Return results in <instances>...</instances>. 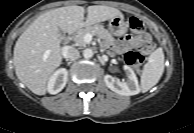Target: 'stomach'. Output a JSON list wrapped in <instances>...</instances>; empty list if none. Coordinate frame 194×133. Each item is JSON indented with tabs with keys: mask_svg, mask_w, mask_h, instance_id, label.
<instances>
[{
	"mask_svg": "<svg viewBox=\"0 0 194 133\" xmlns=\"http://www.w3.org/2000/svg\"><path fill=\"white\" fill-rule=\"evenodd\" d=\"M109 32L114 36H122L127 31V25L124 22L123 16H116L109 19L108 23Z\"/></svg>",
	"mask_w": 194,
	"mask_h": 133,
	"instance_id": "stomach-1",
	"label": "stomach"
}]
</instances>
